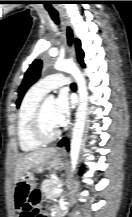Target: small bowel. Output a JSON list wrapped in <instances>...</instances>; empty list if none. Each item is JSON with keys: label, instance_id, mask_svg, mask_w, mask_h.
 Instances as JSON below:
<instances>
[{"label": "small bowel", "instance_id": "small-bowel-1", "mask_svg": "<svg viewBox=\"0 0 132 217\" xmlns=\"http://www.w3.org/2000/svg\"><path fill=\"white\" fill-rule=\"evenodd\" d=\"M27 195L19 194L16 198V208L20 212V217H32L31 212L29 211L26 204ZM47 217V216H41Z\"/></svg>", "mask_w": 132, "mask_h": 217}]
</instances>
